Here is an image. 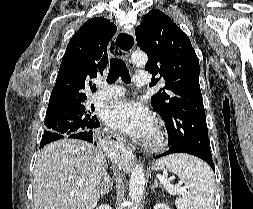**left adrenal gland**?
Masks as SVG:
<instances>
[{"label":"left adrenal gland","mask_w":253,"mask_h":209,"mask_svg":"<svg viewBox=\"0 0 253 209\" xmlns=\"http://www.w3.org/2000/svg\"><path fill=\"white\" fill-rule=\"evenodd\" d=\"M157 187H158V182H157V180H155L154 184L151 185V192L153 193L155 191V188H157Z\"/></svg>","instance_id":"obj_1"}]
</instances>
